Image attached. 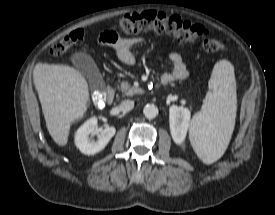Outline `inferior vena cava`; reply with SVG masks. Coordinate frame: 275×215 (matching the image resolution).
Segmentation results:
<instances>
[{
  "label": "inferior vena cava",
  "instance_id": "1",
  "mask_svg": "<svg viewBox=\"0 0 275 215\" xmlns=\"http://www.w3.org/2000/svg\"><path fill=\"white\" fill-rule=\"evenodd\" d=\"M118 108L121 112H129L134 108V102L131 100H124L119 104Z\"/></svg>",
  "mask_w": 275,
  "mask_h": 215
}]
</instances>
